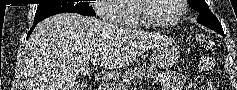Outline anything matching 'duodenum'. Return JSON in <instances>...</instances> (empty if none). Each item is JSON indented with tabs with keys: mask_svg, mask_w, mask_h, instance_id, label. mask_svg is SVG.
<instances>
[{
	"mask_svg": "<svg viewBox=\"0 0 237 90\" xmlns=\"http://www.w3.org/2000/svg\"><path fill=\"white\" fill-rule=\"evenodd\" d=\"M99 90H113L112 87H99Z\"/></svg>",
	"mask_w": 237,
	"mask_h": 90,
	"instance_id": "duodenum-1",
	"label": "duodenum"
}]
</instances>
